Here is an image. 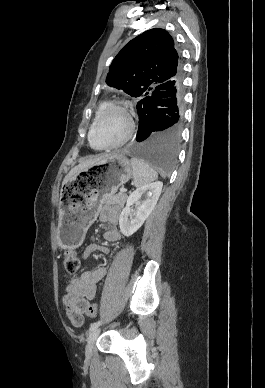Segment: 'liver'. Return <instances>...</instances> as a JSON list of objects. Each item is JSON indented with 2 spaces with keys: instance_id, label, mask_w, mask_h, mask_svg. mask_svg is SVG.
<instances>
[{
  "instance_id": "obj_1",
  "label": "liver",
  "mask_w": 265,
  "mask_h": 388,
  "mask_svg": "<svg viewBox=\"0 0 265 388\" xmlns=\"http://www.w3.org/2000/svg\"><path fill=\"white\" fill-rule=\"evenodd\" d=\"M108 156H115V154H105V156H101V158H93V160H86V162H81V164H78V166H75V168H72L70 170L69 174L65 176L62 184H67L73 176H77V174H80V172H84V170H88V168H92V166H95V164H98L100 160H103V158H108Z\"/></svg>"
}]
</instances>
